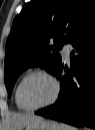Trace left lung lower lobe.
Instances as JSON below:
<instances>
[{"instance_id": "left-lung-lower-lobe-1", "label": "left lung lower lobe", "mask_w": 95, "mask_h": 130, "mask_svg": "<svg viewBox=\"0 0 95 130\" xmlns=\"http://www.w3.org/2000/svg\"><path fill=\"white\" fill-rule=\"evenodd\" d=\"M70 67L62 61L54 75L60 80V93L54 105L36 114L77 127H95V13L89 15L68 41ZM66 75H62V71Z\"/></svg>"}]
</instances>
